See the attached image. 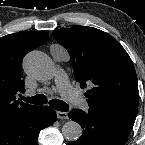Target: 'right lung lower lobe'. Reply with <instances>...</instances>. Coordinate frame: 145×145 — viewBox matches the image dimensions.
Returning a JSON list of instances; mask_svg holds the SVG:
<instances>
[{
  "mask_svg": "<svg viewBox=\"0 0 145 145\" xmlns=\"http://www.w3.org/2000/svg\"><path fill=\"white\" fill-rule=\"evenodd\" d=\"M56 112L49 106H34L0 123V145H37L39 132L53 124Z\"/></svg>",
  "mask_w": 145,
  "mask_h": 145,
  "instance_id": "right-lung-lower-lobe-1",
  "label": "right lung lower lobe"
}]
</instances>
